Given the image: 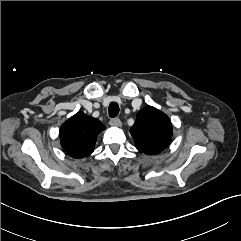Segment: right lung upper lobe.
Masks as SVG:
<instances>
[{"mask_svg":"<svg viewBox=\"0 0 241 241\" xmlns=\"http://www.w3.org/2000/svg\"><path fill=\"white\" fill-rule=\"evenodd\" d=\"M104 129L98 119L78 112L61 126V145L71 157L83 158L94 151L96 138Z\"/></svg>","mask_w":241,"mask_h":241,"instance_id":"right-lung-upper-lobe-1","label":"right lung upper lobe"}]
</instances>
